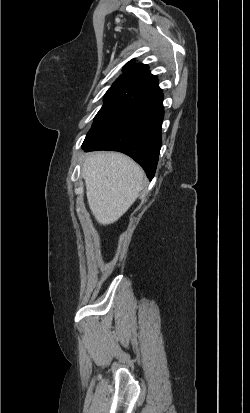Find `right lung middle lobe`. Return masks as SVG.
Returning <instances> with one entry per match:
<instances>
[{"label": "right lung middle lobe", "instance_id": "obj_1", "mask_svg": "<svg viewBox=\"0 0 250 413\" xmlns=\"http://www.w3.org/2000/svg\"><path fill=\"white\" fill-rule=\"evenodd\" d=\"M135 98H137L136 95L132 93L109 90L105 95V102L95 116L94 123L82 146L91 143L105 133L119 119L129 103Z\"/></svg>", "mask_w": 250, "mask_h": 413}]
</instances>
